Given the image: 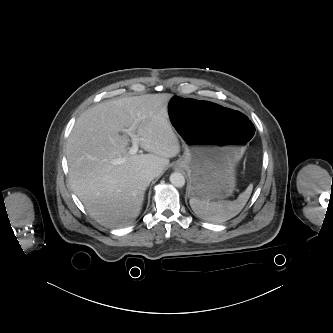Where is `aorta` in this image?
Segmentation results:
<instances>
[{
	"label": "aorta",
	"mask_w": 333,
	"mask_h": 333,
	"mask_svg": "<svg viewBox=\"0 0 333 333\" xmlns=\"http://www.w3.org/2000/svg\"><path fill=\"white\" fill-rule=\"evenodd\" d=\"M169 179L175 187L181 188L185 185V178L181 173L174 172L170 175Z\"/></svg>",
	"instance_id": "aorta-1"
}]
</instances>
